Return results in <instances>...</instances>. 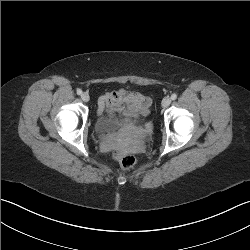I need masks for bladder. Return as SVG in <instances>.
Masks as SVG:
<instances>
[{"instance_id": "bladder-1", "label": "bladder", "mask_w": 250, "mask_h": 250, "mask_svg": "<svg viewBox=\"0 0 250 250\" xmlns=\"http://www.w3.org/2000/svg\"><path fill=\"white\" fill-rule=\"evenodd\" d=\"M144 117H125L102 113L98 115L94 122V129L100 135H107L122 131L126 128H138L145 124Z\"/></svg>"}]
</instances>
